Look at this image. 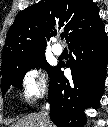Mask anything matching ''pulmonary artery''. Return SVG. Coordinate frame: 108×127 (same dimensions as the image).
Wrapping results in <instances>:
<instances>
[{"label": "pulmonary artery", "instance_id": "1", "mask_svg": "<svg viewBox=\"0 0 108 127\" xmlns=\"http://www.w3.org/2000/svg\"><path fill=\"white\" fill-rule=\"evenodd\" d=\"M52 52L55 54V55H61L62 52H63V49L62 47L59 45V44H54L53 47H52Z\"/></svg>", "mask_w": 108, "mask_h": 127}]
</instances>
